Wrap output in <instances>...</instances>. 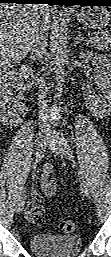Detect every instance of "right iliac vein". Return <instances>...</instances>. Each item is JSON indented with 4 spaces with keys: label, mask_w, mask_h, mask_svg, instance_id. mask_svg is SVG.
<instances>
[{
    "label": "right iliac vein",
    "mask_w": 111,
    "mask_h": 257,
    "mask_svg": "<svg viewBox=\"0 0 111 257\" xmlns=\"http://www.w3.org/2000/svg\"><path fill=\"white\" fill-rule=\"evenodd\" d=\"M46 144H47V137L45 135H40L37 141L36 163L43 157ZM24 205H25V199H19L18 204L16 206L17 214H20L22 212Z\"/></svg>",
    "instance_id": "right-iliac-vein-1"
}]
</instances>
